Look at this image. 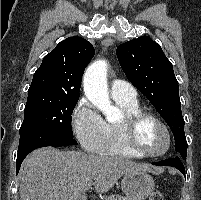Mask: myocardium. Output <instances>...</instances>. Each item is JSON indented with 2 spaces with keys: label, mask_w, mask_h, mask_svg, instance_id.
<instances>
[{
  "label": "myocardium",
  "mask_w": 201,
  "mask_h": 200,
  "mask_svg": "<svg viewBox=\"0 0 201 200\" xmlns=\"http://www.w3.org/2000/svg\"><path fill=\"white\" fill-rule=\"evenodd\" d=\"M146 120H151L156 124H158L165 134L166 145L164 149L160 152L149 153L142 150L138 145L137 141L138 129L141 126V124ZM121 128L126 147L139 157L159 158L166 155L171 148L172 137L168 126L165 124L163 120H161L159 117H157L152 113L140 110L138 112L125 115L123 120L121 121Z\"/></svg>",
  "instance_id": "1"
}]
</instances>
